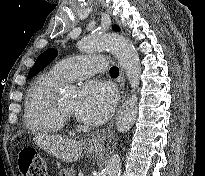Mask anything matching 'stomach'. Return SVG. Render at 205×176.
<instances>
[{"label": "stomach", "mask_w": 205, "mask_h": 176, "mask_svg": "<svg viewBox=\"0 0 205 176\" xmlns=\"http://www.w3.org/2000/svg\"><path fill=\"white\" fill-rule=\"evenodd\" d=\"M100 150L101 147L88 148L89 153H98ZM60 176H74V172L71 169L63 170L60 172Z\"/></svg>", "instance_id": "1"}]
</instances>
